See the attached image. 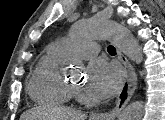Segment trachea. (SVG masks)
<instances>
[{
  "label": "trachea",
  "instance_id": "obj_1",
  "mask_svg": "<svg viewBox=\"0 0 165 120\" xmlns=\"http://www.w3.org/2000/svg\"><path fill=\"white\" fill-rule=\"evenodd\" d=\"M107 51L109 54L113 55V54H116V49L114 46L110 45L107 47Z\"/></svg>",
  "mask_w": 165,
  "mask_h": 120
}]
</instances>
